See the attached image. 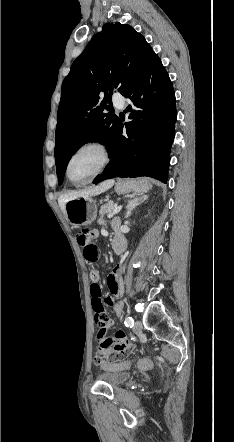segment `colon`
I'll return each mask as SVG.
<instances>
[{
	"label": "colon",
	"mask_w": 234,
	"mask_h": 442,
	"mask_svg": "<svg viewBox=\"0 0 234 442\" xmlns=\"http://www.w3.org/2000/svg\"><path fill=\"white\" fill-rule=\"evenodd\" d=\"M92 235L93 231L91 229L88 228L82 229L77 234V242L80 246L83 247L85 258L90 262H95L98 259V247L91 242ZM99 277H100L99 271L97 269H92L90 271V279L92 281V287H91L92 307L95 314H106L108 299L104 298L102 295L101 288L98 284ZM97 364H100V361H97ZM130 364L131 363L125 361V359H122L121 361H118L117 359L110 361L109 359H107L106 361H102L100 368L102 370H107V369L114 370L115 367H118L127 370ZM136 365L137 367L142 369L151 368L152 362L151 359H149L148 357H142L141 361L136 362Z\"/></svg>",
	"instance_id": "1"
}]
</instances>
